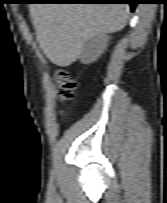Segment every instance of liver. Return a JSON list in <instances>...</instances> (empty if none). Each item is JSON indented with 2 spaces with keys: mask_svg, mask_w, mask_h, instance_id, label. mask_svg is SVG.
I'll list each match as a JSON object with an SVG mask.
<instances>
[{
  "mask_svg": "<svg viewBox=\"0 0 167 203\" xmlns=\"http://www.w3.org/2000/svg\"><path fill=\"white\" fill-rule=\"evenodd\" d=\"M37 40L49 60L61 67L75 62L91 38L122 30L129 7L123 4H52L30 6Z\"/></svg>",
  "mask_w": 167,
  "mask_h": 203,
  "instance_id": "obj_1",
  "label": "liver"
}]
</instances>
